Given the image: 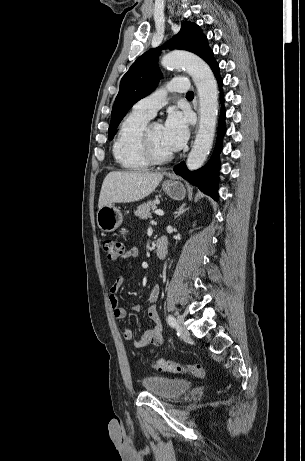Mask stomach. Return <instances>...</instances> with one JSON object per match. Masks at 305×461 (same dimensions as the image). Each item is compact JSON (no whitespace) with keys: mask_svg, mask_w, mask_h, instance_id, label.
I'll return each mask as SVG.
<instances>
[{"mask_svg":"<svg viewBox=\"0 0 305 461\" xmlns=\"http://www.w3.org/2000/svg\"><path fill=\"white\" fill-rule=\"evenodd\" d=\"M162 189L174 200H183L186 196L184 185L177 180L164 181ZM96 219L97 225L102 231L113 232L122 224L123 215L117 207L107 205L98 210Z\"/></svg>","mask_w":305,"mask_h":461,"instance_id":"obj_1","label":"stomach"}]
</instances>
